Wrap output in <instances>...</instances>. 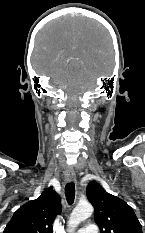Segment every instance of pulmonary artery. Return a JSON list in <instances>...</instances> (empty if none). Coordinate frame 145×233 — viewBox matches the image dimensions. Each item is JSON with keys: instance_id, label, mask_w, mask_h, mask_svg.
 Segmentation results:
<instances>
[{"instance_id": "obj_1", "label": "pulmonary artery", "mask_w": 145, "mask_h": 233, "mask_svg": "<svg viewBox=\"0 0 145 233\" xmlns=\"http://www.w3.org/2000/svg\"><path fill=\"white\" fill-rule=\"evenodd\" d=\"M98 228L95 224L91 223L88 224L87 227L83 228V229H79L77 231V233H98Z\"/></svg>"}]
</instances>
